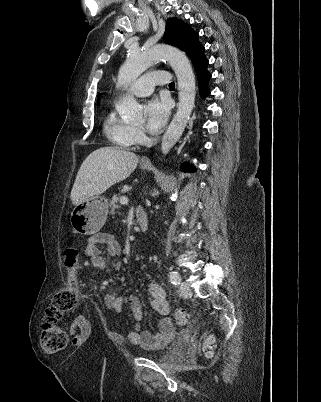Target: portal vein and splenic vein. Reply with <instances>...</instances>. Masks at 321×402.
Masks as SVG:
<instances>
[{
  "instance_id": "18ae733b",
  "label": "portal vein and splenic vein",
  "mask_w": 321,
  "mask_h": 402,
  "mask_svg": "<svg viewBox=\"0 0 321 402\" xmlns=\"http://www.w3.org/2000/svg\"><path fill=\"white\" fill-rule=\"evenodd\" d=\"M128 202H129V200H128L127 197H124V196H123V197L120 198V203H121V204H127Z\"/></svg>"
}]
</instances>
